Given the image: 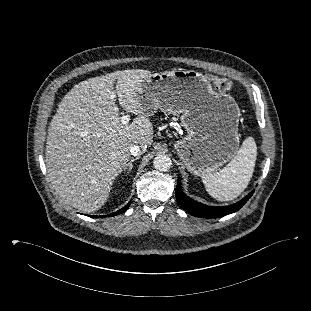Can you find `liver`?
Segmentation results:
<instances>
[{
	"label": "liver",
	"mask_w": 311,
	"mask_h": 311,
	"mask_svg": "<svg viewBox=\"0 0 311 311\" xmlns=\"http://www.w3.org/2000/svg\"><path fill=\"white\" fill-rule=\"evenodd\" d=\"M151 72L116 71L75 85L62 99L47 135L46 167L59 196L91 213L107 201L112 184L130 159V147L153 142V125L137 99ZM120 106L136 115L123 125Z\"/></svg>",
	"instance_id": "obj_1"
}]
</instances>
